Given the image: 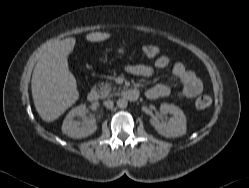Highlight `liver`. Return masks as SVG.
<instances>
[{
    "instance_id": "1",
    "label": "liver",
    "mask_w": 249,
    "mask_h": 188,
    "mask_svg": "<svg viewBox=\"0 0 249 188\" xmlns=\"http://www.w3.org/2000/svg\"><path fill=\"white\" fill-rule=\"evenodd\" d=\"M110 36L105 32H92L86 35V39L100 42ZM75 44V38L50 44L33 70L32 97L38 114L46 122L59 118L79 98L76 79L68 67V56Z\"/></svg>"
}]
</instances>
